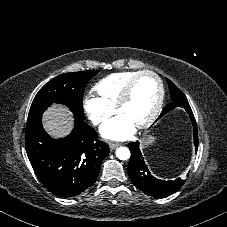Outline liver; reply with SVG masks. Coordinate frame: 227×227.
Masks as SVG:
<instances>
[{
  "mask_svg": "<svg viewBox=\"0 0 227 227\" xmlns=\"http://www.w3.org/2000/svg\"><path fill=\"white\" fill-rule=\"evenodd\" d=\"M46 131L55 138L65 137L73 127L72 113L68 108L54 104L43 115Z\"/></svg>",
  "mask_w": 227,
  "mask_h": 227,
  "instance_id": "1",
  "label": "liver"
}]
</instances>
